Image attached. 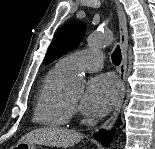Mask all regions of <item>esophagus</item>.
<instances>
[{
    "instance_id": "1",
    "label": "esophagus",
    "mask_w": 155,
    "mask_h": 149,
    "mask_svg": "<svg viewBox=\"0 0 155 149\" xmlns=\"http://www.w3.org/2000/svg\"><path fill=\"white\" fill-rule=\"evenodd\" d=\"M115 4H116L118 20H119L120 47H121L122 59H121V63L118 68L119 94H118L115 108L111 116L101 126V128L105 130H110L112 128L113 124L118 118V115L121 111L124 98H125V82H126L127 50H128L127 20H126V15H125L122 5L118 1H115Z\"/></svg>"
}]
</instances>
